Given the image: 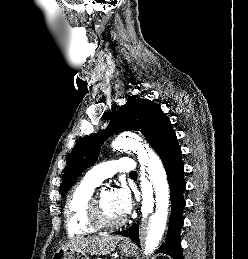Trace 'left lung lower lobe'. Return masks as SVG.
Segmentation results:
<instances>
[{"label": "left lung lower lobe", "mask_w": 248, "mask_h": 259, "mask_svg": "<svg viewBox=\"0 0 248 259\" xmlns=\"http://www.w3.org/2000/svg\"><path fill=\"white\" fill-rule=\"evenodd\" d=\"M157 153L163 162L169 181L171 215L165 242L156 253L168 254L173 259H183L179 232L183 226L182 212L185 208L183 193L186 190V184L183 180L184 165L181 159V148L178 141L175 140L170 145L161 148ZM138 225L139 224L132 226L130 229L123 232H116V234L129 236L133 242L140 245L138 240Z\"/></svg>", "instance_id": "0a47b994"}]
</instances>
